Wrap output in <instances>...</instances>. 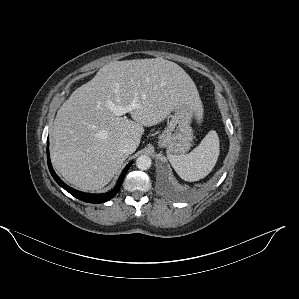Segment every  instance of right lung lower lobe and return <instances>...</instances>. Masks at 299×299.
I'll list each match as a JSON object with an SVG mask.
<instances>
[{"label": "right lung lower lobe", "instance_id": "98d812e1", "mask_svg": "<svg viewBox=\"0 0 299 299\" xmlns=\"http://www.w3.org/2000/svg\"><path fill=\"white\" fill-rule=\"evenodd\" d=\"M49 144V141L47 142ZM47 160H48V167L50 170L51 175L53 176V178L55 179V181L62 187L64 188L66 191H68L71 195H73L74 197H76L79 200H82L84 202H88V203H104L110 199H112L117 192L120 189V186L122 185L124 176L126 174V172L128 171L129 167L131 166L132 162L129 163L126 168L123 170L116 188L113 191H110L108 193L105 194H86L80 191H77L71 187H69L68 185H66L55 173V171L52 168L51 165V161H50V156H49V148L47 147Z\"/></svg>", "mask_w": 299, "mask_h": 299}]
</instances>
